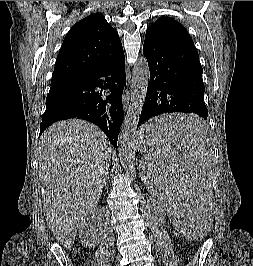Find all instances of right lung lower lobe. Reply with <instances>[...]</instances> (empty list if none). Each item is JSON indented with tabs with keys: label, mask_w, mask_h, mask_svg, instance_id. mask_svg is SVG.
<instances>
[{
	"label": "right lung lower lobe",
	"mask_w": 253,
	"mask_h": 266,
	"mask_svg": "<svg viewBox=\"0 0 253 266\" xmlns=\"http://www.w3.org/2000/svg\"><path fill=\"white\" fill-rule=\"evenodd\" d=\"M125 80L123 55L99 70L68 82L46 107L39 136L56 121L80 118L96 124L117 148L118 133L124 119L122 93ZM97 88L109 89L111 94L104 95Z\"/></svg>",
	"instance_id": "obj_1"
}]
</instances>
